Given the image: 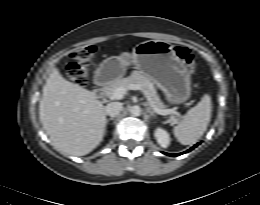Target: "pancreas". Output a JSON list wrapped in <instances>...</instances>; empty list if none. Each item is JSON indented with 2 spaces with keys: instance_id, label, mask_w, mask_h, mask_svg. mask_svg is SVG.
Listing matches in <instances>:
<instances>
[{
  "instance_id": "1",
  "label": "pancreas",
  "mask_w": 260,
  "mask_h": 205,
  "mask_svg": "<svg viewBox=\"0 0 260 205\" xmlns=\"http://www.w3.org/2000/svg\"><path fill=\"white\" fill-rule=\"evenodd\" d=\"M130 84L141 85L148 93L154 105L159 109L166 110V106L160 100L151 79L140 71H133L130 76L112 82L110 86L104 90V93L107 97L112 98V95L117 88H127Z\"/></svg>"
}]
</instances>
